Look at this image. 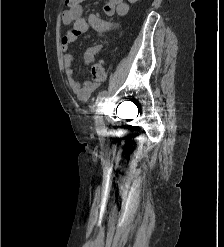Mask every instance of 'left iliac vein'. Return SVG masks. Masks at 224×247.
Listing matches in <instances>:
<instances>
[{
  "label": "left iliac vein",
  "mask_w": 224,
  "mask_h": 247,
  "mask_svg": "<svg viewBox=\"0 0 224 247\" xmlns=\"http://www.w3.org/2000/svg\"><path fill=\"white\" fill-rule=\"evenodd\" d=\"M104 110H105V103L102 100L97 109V117H96L97 130H102L104 128V120L102 116L104 113Z\"/></svg>",
  "instance_id": "left-iliac-vein-1"
}]
</instances>
